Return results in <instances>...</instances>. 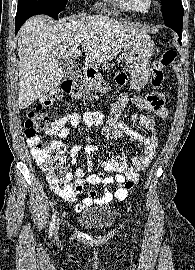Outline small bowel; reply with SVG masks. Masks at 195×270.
<instances>
[{"instance_id": "1", "label": "small bowel", "mask_w": 195, "mask_h": 270, "mask_svg": "<svg viewBox=\"0 0 195 270\" xmlns=\"http://www.w3.org/2000/svg\"><path fill=\"white\" fill-rule=\"evenodd\" d=\"M125 80L126 77L124 74H120L117 78L120 84H123ZM130 103L159 118H166L169 114L168 109L164 105L152 109L144 108L143 97L122 95L118 98L108 115L105 126L102 128V134L112 140L127 135L138 143L141 148L139 153L133 157L131 163L127 161L124 153H120L100 163L104 171L115 173L114 176H104L102 172H90L86 176L84 169L76 166V157L82 149V146H74L70 151V161L74 168L69 175L71 178H75V184L69 193H58V195L65 201L75 202L79 195L82 194L86 184H100L103 187V194L101 196H98L95 190H90L82 203L75 206L77 212H80L84 208L91 207L94 204H108L113 198L124 200L128 191L123 188L122 184L128 179L137 180L139 173L150 165L155 156L158 147L157 123L155 120L145 115H141L137 118L139 124L150 132V136L141 135L135 129L119 120L122 112ZM103 120L104 117L99 111L86 110L82 113H69L53 122L51 135L56 136L58 140H62L68 136L71 129L77 128L82 123L88 128H93L102 125ZM95 149V145H90L86 148V151L88 154H91ZM89 166H91L90 160ZM113 183L118 185L114 192L109 189V186Z\"/></svg>"}]
</instances>
